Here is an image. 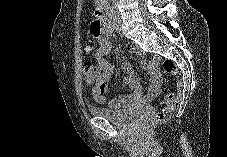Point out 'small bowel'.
<instances>
[{
    "label": "small bowel",
    "instance_id": "1",
    "mask_svg": "<svg viewBox=\"0 0 227 157\" xmlns=\"http://www.w3.org/2000/svg\"><path fill=\"white\" fill-rule=\"evenodd\" d=\"M94 25V23H93ZM111 42L106 33L97 36V45L93 47L88 45L84 48L85 53H94L95 63L100 70L96 82L92 86V96L99 104H108L114 108H121L139 104L143 101L153 99L160 91L161 78L157 70L156 59L147 62L143 54L138 51L141 64L147 69L151 85L146 94L143 93L141 83L135 79L132 66L129 62L123 63V68L127 75L123 78V82L132 89V93L120 95L118 98H108L105 93L108 82L114 73V66L107 60V55L111 52Z\"/></svg>",
    "mask_w": 227,
    "mask_h": 157
}]
</instances>
